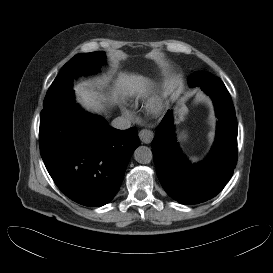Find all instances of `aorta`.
<instances>
[{
	"instance_id": "aorta-1",
	"label": "aorta",
	"mask_w": 273,
	"mask_h": 273,
	"mask_svg": "<svg viewBox=\"0 0 273 273\" xmlns=\"http://www.w3.org/2000/svg\"><path fill=\"white\" fill-rule=\"evenodd\" d=\"M134 159L141 164H146L152 161L153 154L150 148L147 146H139L134 151Z\"/></svg>"
}]
</instances>
